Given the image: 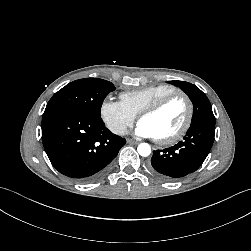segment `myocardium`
Here are the masks:
<instances>
[{
	"label": "myocardium",
	"instance_id": "obj_1",
	"mask_svg": "<svg viewBox=\"0 0 251 251\" xmlns=\"http://www.w3.org/2000/svg\"><path fill=\"white\" fill-rule=\"evenodd\" d=\"M178 97L183 98L184 101L186 102V105H187V114H186L185 121H184L183 125L180 127V129L177 132H175L174 134H172L168 137H165V138H155L156 142L161 145H169V144H173V143L179 141L180 139H182L185 136V134L190 129L191 124H192V120H193V114H194V104H193V101L190 98V96L182 90L174 91V92L162 97L161 99L156 101L154 104L150 105L149 107H147L138 116V120L140 121L141 119H143L145 117L154 115V114L158 113L160 110H162L172 100H174L175 98H178Z\"/></svg>",
	"mask_w": 251,
	"mask_h": 251
}]
</instances>
